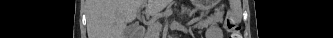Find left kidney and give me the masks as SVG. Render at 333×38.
Here are the masks:
<instances>
[{"mask_svg":"<svg viewBox=\"0 0 333 38\" xmlns=\"http://www.w3.org/2000/svg\"><path fill=\"white\" fill-rule=\"evenodd\" d=\"M213 31L215 33L214 38H221L222 36L221 31H219L218 29H214Z\"/></svg>","mask_w":333,"mask_h":38,"instance_id":"5707ae66","label":"left kidney"}]
</instances>
